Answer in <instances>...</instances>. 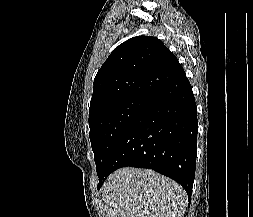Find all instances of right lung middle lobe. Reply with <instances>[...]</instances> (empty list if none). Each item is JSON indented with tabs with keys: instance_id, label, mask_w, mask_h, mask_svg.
<instances>
[{
	"instance_id": "dd1d6c3e",
	"label": "right lung middle lobe",
	"mask_w": 253,
	"mask_h": 217,
	"mask_svg": "<svg viewBox=\"0 0 253 217\" xmlns=\"http://www.w3.org/2000/svg\"><path fill=\"white\" fill-rule=\"evenodd\" d=\"M148 101L140 97L126 98L89 116L90 140L99 179L105 173L106 160L115 143Z\"/></svg>"
}]
</instances>
